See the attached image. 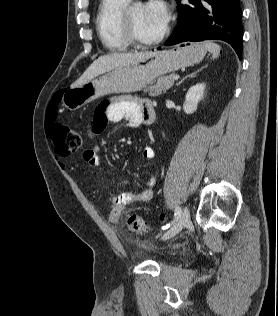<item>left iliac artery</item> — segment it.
Masks as SVG:
<instances>
[{
  "instance_id": "obj_1",
  "label": "left iliac artery",
  "mask_w": 278,
  "mask_h": 316,
  "mask_svg": "<svg viewBox=\"0 0 278 316\" xmlns=\"http://www.w3.org/2000/svg\"><path fill=\"white\" fill-rule=\"evenodd\" d=\"M174 216H175V219L173 220L172 223H174L175 221H177L178 218L181 216V208H180L179 206H176V207H175V214H174ZM169 227H170V223L166 224L165 226H162V229L165 230V229H167V228H169Z\"/></svg>"
}]
</instances>
